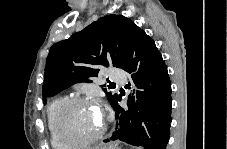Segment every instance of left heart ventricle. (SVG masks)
I'll return each instance as SVG.
<instances>
[{"mask_svg": "<svg viewBox=\"0 0 227 149\" xmlns=\"http://www.w3.org/2000/svg\"><path fill=\"white\" fill-rule=\"evenodd\" d=\"M101 122V114L92 102L79 103L66 112L64 131L70 138L86 139L99 130Z\"/></svg>", "mask_w": 227, "mask_h": 149, "instance_id": "obj_1", "label": "left heart ventricle"}]
</instances>
